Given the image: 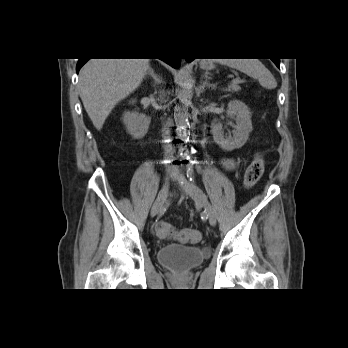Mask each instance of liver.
<instances>
[{"mask_svg": "<svg viewBox=\"0 0 348 348\" xmlns=\"http://www.w3.org/2000/svg\"><path fill=\"white\" fill-rule=\"evenodd\" d=\"M150 59H90L79 74V93L97 130L116 104L135 91L149 68Z\"/></svg>", "mask_w": 348, "mask_h": 348, "instance_id": "obj_1", "label": "liver"}]
</instances>
